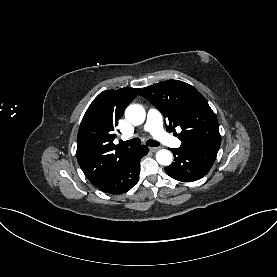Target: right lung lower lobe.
Returning a JSON list of instances; mask_svg holds the SVG:
<instances>
[{"instance_id": "1", "label": "right lung lower lobe", "mask_w": 277, "mask_h": 277, "mask_svg": "<svg viewBox=\"0 0 277 277\" xmlns=\"http://www.w3.org/2000/svg\"><path fill=\"white\" fill-rule=\"evenodd\" d=\"M147 153L146 146L136 147L117 171L97 188L109 194H120L130 190L139 179V163Z\"/></svg>"}]
</instances>
